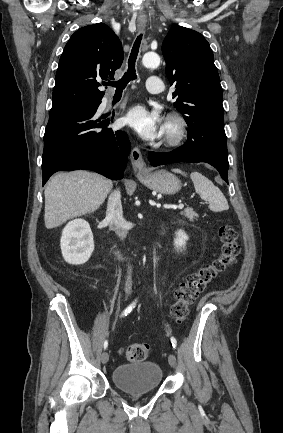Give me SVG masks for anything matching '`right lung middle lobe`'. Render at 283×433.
Here are the masks:
<instances>
[{
	"label": "right lung middle lobe",
	"mask_w": 283,
	"mask_h": 433,
	"mask_svg": "<svg viewBox=\"0 0 283 433\" xmlns=\"http://www.w3.org/2000/svg\"><path fill=\"white\" fill-rule=\"evenodd\" d=\"M90 105H92V104L84 105V106H82V107H85V106H90ZM80 108H81V107H80Z\"/></svg>",
	"instance_id": "dd1d6c3e"
}]
</instances>
